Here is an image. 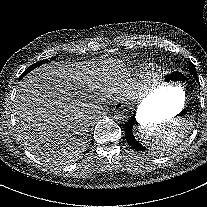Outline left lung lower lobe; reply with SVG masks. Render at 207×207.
<instances>
[{
	"mask_svg": "<svg viewBox=\"0 0 207 207\" xmlns=\"http://www.w3.org/2000/svg\"><path fill=\"white\" fill-rule=\"evenodd\" d=\"M193 74V76L195 77V79L198 81L197 78V71H193L191 72ZM135 122L133 120H131L128 124H127V128L125 130V135H126V140L128 142L129 145H131L135 150L137 151H143L146 148L144 146H142V144H140L134 137L133 132H132V125Z\"/></svg>",
	"mask_w": 207,
	"mask_h": 207,
	"instance_id": "1",
	"label": "left lung lower lobe"
}]
</instances>
